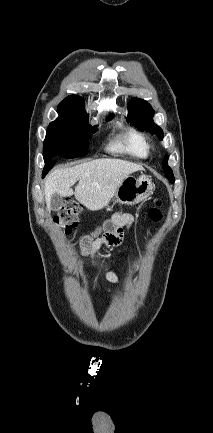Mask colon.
Returning a JSON list of instances; mask_svg holds the SVG:
<instances>
[{
    "instance_id": "5ec220e1",
    "label": "colon",
    "mask_w": 213,
    "mask_h": 433,
    "mask_svg": "<svg viewBox=\"0 0 213 433\" xmlns=\"http://www.w3.org/2000/svg\"><path fill=\"white\" fill-rule=\"evenodd\" d=\"M160 202L156 201L155 205L149 210V218L153 222H159L162 213L159 209ZM82 207L75 201L67 203L54 217V223L58 225L66 234L70 233L78 224V216Z\"/></svg>"
}]
</instances>
